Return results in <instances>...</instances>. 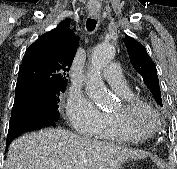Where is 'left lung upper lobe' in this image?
<instances>
[{
    "label": "left lung upper lobe",
    "instance_id": "left-lung-upper-lobe-1",
    "mask_svg": "<svg viewBox=\"0 0 177 169\" xmlns=\"http://www.w3.org/2000/svg\"><path fill=\"white\" fill-rule=\"evenodd\" d=\"M123 41L127 47L134 69L142 76L144 83L152 91L158 104L163 106L157 69L149 58L146 48L127 35H125Z\"/></svg>",
    "mask_w": 177,
    "mask_h": 169
}]
</instances>
